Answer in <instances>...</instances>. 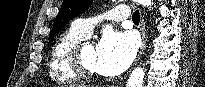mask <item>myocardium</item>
I'll return each instance as SVG.
<instances>
[{
	"mask_svg": "<svg viewBox=\"0 0 205 87\" xmlns=\"http://www.w3.org/2000/svg\"><path fill=\"white\" fill-rule=\"evenodd\" d=\"M88 44L87 41L78 42L70 49L67 55L69 67L77 78L82 80H90L97 75L96 72L87 70L82 63L81 53L83 48Z\"/></svg>",
	"mask_w": 205,
	"mask_h": 87,
	"instance_id": "myocardium-1",
	"label": "myocardium"
}]
</instances>
